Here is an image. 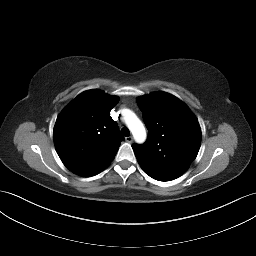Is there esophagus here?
I'll return each instance as SVG.
<instances>
[{"label":"esophagus","mask_w":256,"mask_h":256,"mask_svg":"<svg viewBox=\"0 0 256 256\" xmlns=\"http://www.w3.org/2000/svg\"><path fill=\"white\" fill-rule=\"evenodd\" d=\"M125 140H126L128 143H132L133 137H132V136H128V137L125 138Z\"/></svg>","instance_id":"esophagus-1"}]
</instances>
